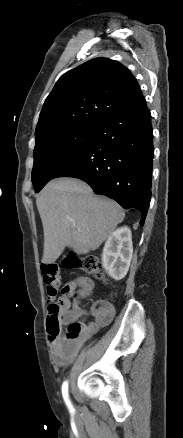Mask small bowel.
<instances>
[{
	"instance_id": "obj_1",
	"label": "small bowel",
	"mask_w": 183,
	"mask_h": 438,
	"mask_svg": "<svg viewBox=\"0 0 183 438\" xmlns=\"http://www.w3.org/2000/svg\"><path fill=\"white\" fill-rule=\"evenodd\" d=\"M65 287L70 293L77 291L81 298H85L93 292L94 282L88 277L80 276L68 283ZM87 314L88 312L78 304L71 306L68 300L62 313V324L67 325ZM90 314L94 317V321L87 325H82V334L76 339L68 340L61 334L56 336L49 334L52 355L55 363L59 366L71 363L79 353L85 341L100 328L111 322L114 316V308L109 302L99 300L91 306Z\"/></svg>"
}]
</instances>
